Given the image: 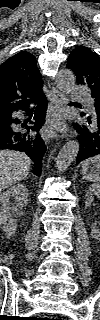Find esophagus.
<instances>
[{"label": "esophagus", "mask_w": 100, "mask_h": 320, "mask_svg": "<svg viewBox=\"0 0 100 320\" xmlns=\"http://www.w3.org/2000/svg\"><path fill=\"white\" fill-rule=\"evenodd\" d=\"M66 98L58 89H52L51 107L46 116V122L43 125L40 134L45 142H49L52 139L57 138V133L53 125V120L57 115V112L65 104Z\"/></svg>", "instance_id": "esophagus-1"}]
</instances>
